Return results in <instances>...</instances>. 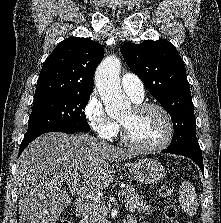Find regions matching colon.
<instances>
[{
    "mask_svg": "<svg viewBox=\"0 0 221 223\" xmlns=\"http://www.w3.org/2000/svg\"><path fill=\"white\" fill-rule=\"evenodd\" d=\"M161 196L164 199V215L168 220V223H179L177 219L178 211L176 206L171 202L172 192L168 186H164L161 189ZM57 223H72L70 218H61Z\"/></svg>",
    "mask_w": 221,
    "mask_h": 223,
    "instance_id": "colon-1",
    "label": "colon"
}]
</instances>
